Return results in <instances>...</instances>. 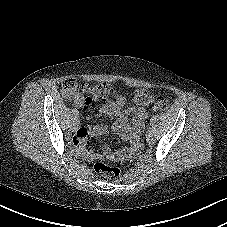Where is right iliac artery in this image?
I'll return each mask as SVG.
<instances>
[{
    "label": "right iliac artery",
    "mask_w": 227,
    "mask_h": 227,
    "mask_svg": "<svg viewBox=\"0 0 227 227\" xmlns=\"http://www.w3.org/2000/svg\"><path fill=\"white\" fill-rule=\"evenodd\" d=\"M75 120H80V115H75Z\"/></svg>",
    "instance_id": "1"
}]
</instances>
